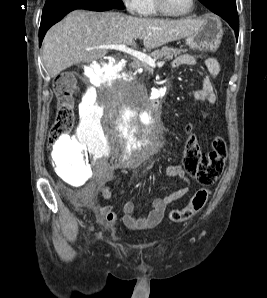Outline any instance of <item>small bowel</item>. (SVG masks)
Returning a JSON list of instances; mask_svg holds the SVG:
<instances>
[{
    "mask_svg": "<svg viewBox=\"0 0 267 298\" xmlns=\"http://www.w3.org/2000/svg\"><path fill=\"white\" fill-rule=\"evenodd\" d=\"M205 64L210 75L201 79L200 87L194 91V98L202 103L215 104L217 95L215 92V78L220 72V65L217 59L208 58ZM196 59L188 54L180 55L172 62L173 68L181 66H194ZM166 176L170 178H178L186 183V186L162 197H157L152 201L151 209L146 217L137 218L133 215L134 204L127 201L123 206L122 221L124 226L129 230H146L156 227L162 220L167 205L184 197L189 192L191 183L189 175L181 165H167L164 168ZM107 176H111L108 172ZM101 196L109 199L112 192L108 186L100 190ZM83 202L96 209L99 222L108 226H112L118 219V215L113 211L112 205H101L93 192H87L83 195Z\"/></svg>",
    "mask_w": 267,
    "mask_h": 298,
    "instance_id": "small-bowel-1",
    "label": "small bowel"
}]
</instances>
